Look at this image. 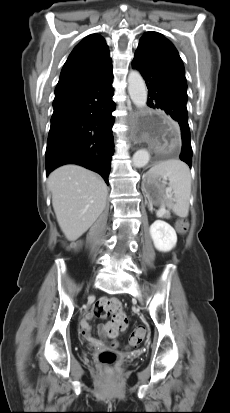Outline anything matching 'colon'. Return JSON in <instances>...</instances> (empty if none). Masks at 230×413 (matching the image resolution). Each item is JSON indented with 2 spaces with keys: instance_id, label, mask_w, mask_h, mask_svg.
<instances>
[{
  "instance_id": "5ec220e1",
  "label": "colon",
  "mask_w": 230,
  "mask_h": 413,
  "mask_svg": "<svg viewBox=\"0 0 230 413\" xmlns=\"http://www.w3.org/2000/svg\"><path fill=\"white\" fill-rule=\"evenodd\" d=\"M178 228L180 231L186 229L183 222H179ZM93 313L99 318L111 316L112 319H115L123 313V306L121 301L115 298L100 299L94 304ZM145 336L146 329L143 326H137L129 337V344L131 346H137L144 340ZM115 361L116 354L112 351H104L99 355V362L106 367L113 365Z\"/></svg>"
}]
</instances>
